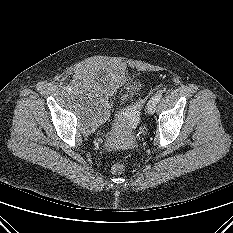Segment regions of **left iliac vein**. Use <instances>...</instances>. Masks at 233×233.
<instances>
[{
	"label": "left iliac vein",
	"mask_w": 233,
	"mask_h": 233,
	"mask_svg": "<svg viewBox=\"0 0 233 233\" xmlns=\"http://www.w3.org/2000/svg\"><path fill=\"white\" fill-rule=\"evenodd\" d=\"M156 103L153 100H150L147 104L148 114H153L155 111Z\"/></svg>",
	"instance_id": "obj_1"
}]
</instances>
